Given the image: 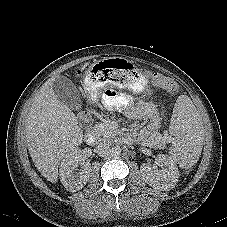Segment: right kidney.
Wrapping results in <instances>:
<instances>
[{
  "mask_svg": "<svg viewBox=\"0 0 227 227\" xmlns=\"http://www.w3.org/2000/svg\"><path fill=\"white\" fill-rule=\"evenodd\" d=\"M79 164H81V168L77 169ZM59 170L63 186L69 192H76L88 182L91 167L82 161L81 150L76 148L65 155Z\"/></svg>",
  "mask_w": 227,
  "mask_h": 227,
  "instance_id": "ca27d5eb",
  "label": "right kidney"
}]
</instances>
